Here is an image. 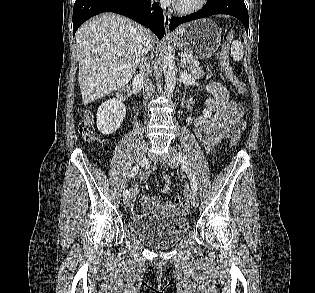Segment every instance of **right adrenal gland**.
I'll use <instances>...</instances> for the list:
<instances>
[{
  "label": "right adrenal gland",
  "instance_id": "1",
  "mask_svg": "<svg viewBox=\"0 0 315 293\" xmlns=\"http://www.w3.org/2000/svg\"><path fill=\"white\" fill-rule=\"evenodd\" d=\"M143 62L146 63V62H147V59H146V58H143Z\"/></svg>",
  "mask_w": 315,
  "mask_h": 293
}]
</instances>
